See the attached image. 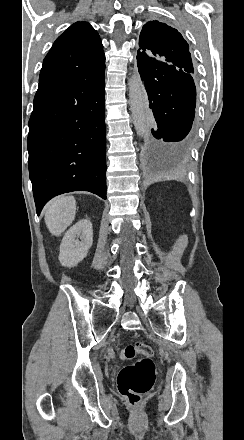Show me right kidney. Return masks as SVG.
<instances>
[{
	"instance_id": "obj_1",
	"label": "right kidney",
	"mask_w": 244,
	"mask_h": 440,
	"mask_svg": "<svg viewBox=\"0 0 244 440\" xmlns=\"http://www.w3.org/2000/svg\"><path fill=\"white\" fill-rule=\"evenodd\" d=\"M76 238H79L81 242ZM92 244L93 230L89 218L79 220L75 226L67 230L60 244L58 260L61 266H67V268L77 266L83 258H86Z\"/></svg>"
}]
</instances>
